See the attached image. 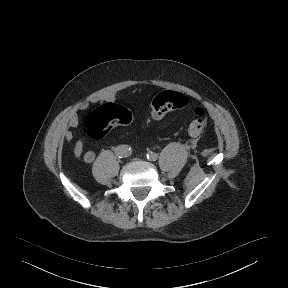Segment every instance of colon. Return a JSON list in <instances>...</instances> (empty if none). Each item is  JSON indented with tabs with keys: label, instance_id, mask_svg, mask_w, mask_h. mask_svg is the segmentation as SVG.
Segmentation results:
<instances>
[{
	"label": "colon",
	"instance_id": "5ec220e1",
	"mask_svg": "<svg viewBox=\"0 0 288 288\" xmlns=\"http://www.w3.org/2000/svg\"><path fill=\"white\" fill-rule=\"evenodd\" d=\"M186 101L178 92H167L159 95L152 102L150 116L153 120L164 118L169 112L181 109ZM188 126V134L193 137L201 135L206 127L207 119L203 111L199 110ZM133 115L127 109L114 105L103 104L95 108L86 120V131L94 140L103 139L115 125L131 123ZM84 160L90 161L94 158V152H84Z\"/></svg>",
	"mask_w": 288,
	"mask_h": 288
}]
</instances>
